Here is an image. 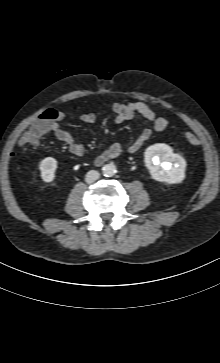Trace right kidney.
<instances>
[{
    "label": "right kidney",
    "mask_w": 220,
    "mask_h": 363,
    "mask_svg": "<svg viewBox=\"0 0 220 363\" xmlns=\"http://www.w3.org/2000/svg\"><path fill=\"white\" fill-rule=\"evenodd\" d=\"M41 178L45 182H52L57 169V161L52 157H47L40 163Z\"/></svg>",
    "instance_id": "right-kidney-1"
}]
</instances>
